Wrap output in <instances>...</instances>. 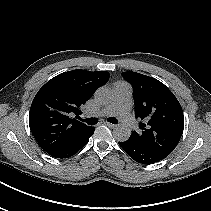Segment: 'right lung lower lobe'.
I'll return each mask as SVG.
<instances>
[{
  "instance_id": "1",
  "label": "right lung lower lobe",
  "mask_w": 211,
  "mask_h": 211,
  "mask_svg": "<svg viewBox=\"0 0 211 211\" xmlns=\"http://www.w3.org/2000/svg\"><path fill=\"white\" fill-rule=\"evenodd\" d=\"M93 133H94V128L91 127V129L88 132H86L84 135L72 141L70 144H68L66 147L62 148L61 150L56 151L50 155L52 157L61 158V159L73 156L88 143L89 137L92 136Z\"/></svg>"
}]
</instances>
